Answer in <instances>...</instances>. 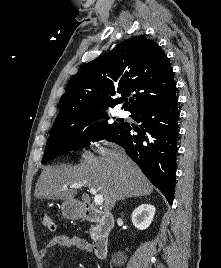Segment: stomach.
Returning a JSON list of instances; mask_svg holds the SVG:
<instances>
[{
  "label": "stomach",
  "instance_id": "stomach-1",
  "mask_svg": "<svg viewBox=\"0 0 221 268\" xmlns=\"http://www.w3.org/2000/svg\"><path fill=\"white\" fill-rule=\"evenodd\" d=\"M62 215L70 220H78L83 216V205L76 200H65L61 205Z\"/></svg>",
  "mask_w": 221,
  "mask_h": 268
}]
</instances>
